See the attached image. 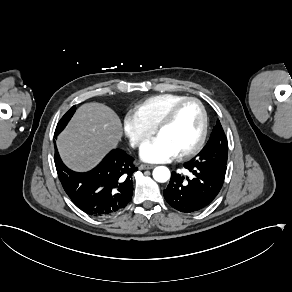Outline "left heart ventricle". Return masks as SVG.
I'll return each mask as SVG.
<instances>
[{"instance_id":"left-heart-ventricle-1","label":"left heart ventricle","mask_w":292,"mask_h":292,"mask_svg":"<svg viewBox=\"0 0 292 292\" xmlns=\"http://www.w3.org/2000/svg\"><path fill=\"white\" fill-rule=\"evenodd\" d=\"M201 125L200 110L196 103L183 104L174 119L158 133L173 143L181 152L192 146L198 138Z\"/></svg>"}]
</instances>
